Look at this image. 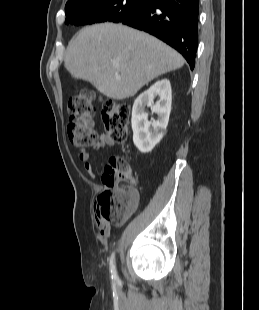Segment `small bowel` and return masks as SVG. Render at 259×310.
<instances>
[{
  "label": "small bowel",
  "instance_id": "small-bowel-1",
  "mask_svg": "<svg viewBox=\"0 0 259 310\" xmlns=\"http://www.w3.org/2000/svg\"><path fill=\"white\" fill-rule=\"evenodd\" d=\"M115 144H116V142L113 139H111L109 136L101 135L100 139H99V143L94 148L96 150H99V149L104 148V147H112ZM78 158L80 161L83 162L84 169L89 174V176L91 178H95L96 174H95L93 165L89 161V159H90L89 151L86 149L81 150L78 153ZM96 226L103 236H107L111 232V226L106 225L100 221H97Z\"/></svg>",
  "mask_w": 259,
  "mask_h": 310
}]
</instances>
